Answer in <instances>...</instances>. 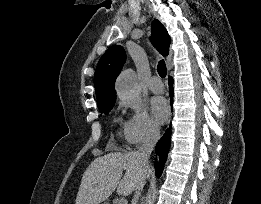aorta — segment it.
Instances as JSON below:
<instances>
[{
	"label": "aorta",
	"instance_id": "obj_1",
	"mask_svg": "<svg viewBox=\"0 0 261 204\" xmlns=\"http://www.w3.org/2000/svg\"><path fill=\"white\" fill-rule=\"evenodd\" d=\"M118 96L129 102L133 107H138L141 103V89L137 83L136 74L132 69L124 70L116 81Z\"/></svg>",
	"mask_w": 261,
	"mask_h": 204
}]
</instances>
